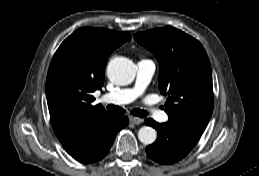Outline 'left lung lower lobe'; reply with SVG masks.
Returning a JSON list of instances; mask_svg holds the SVG:
<instances>
[{"label": "left lung lower lobe", "mask_w": 259, "mask_h": 176, "mask_svg": "<svg viewBox=\"0 0 259 176\" xmlns=\"http://www.w3.org/2000/svg\"><path fill=\"white\" fill-rule=\"evenodd\" d=\"M144 122L158 132L157 140L146 148V154L160 164H173L183 159L201 137L170 123L159 124L151 118L145 119Z\"/></svg>", "instance_id": "1"}]
</instances>
